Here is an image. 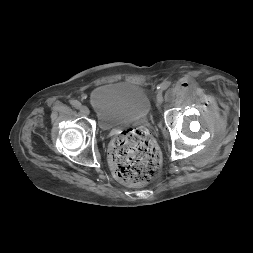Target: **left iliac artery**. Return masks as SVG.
Returning a JSON list of instances; mask_svg holds the SVG:
<instances>
[{
    "label": "left iliac artery",
    "mask_w": 253,
    "mask_h": 253,
    "mask_svg": "<svg viewBox=\"0 0 253 253\" xmlns=\"http://www.w3.org/2000/svg\"><path fill=\"white\" fill-rule=\"evenodd\" d=\"M170 86V82L169 81H164L161 85H160V89L161 90H165Z\"/></svg>",
    "instance_id": "1"
}]
</instances>
